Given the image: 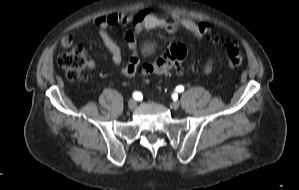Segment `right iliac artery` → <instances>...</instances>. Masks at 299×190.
I'll return each instance as SVG.
<instances>
[{"label":"right iliac artery","instance_id":"82829eb1","mask_svg":"<svg viewBox=\"0 0 299 190\" xmlns=\"http://www.w3.org/2000/svg\"><path fill=\"white\" fill-rule=\"evenodd\" d=\"M133 98L136 100H141L142 99V94L140 92H134L133 93Z\"/></svg>","mask_w":299,"mask_h":190}]
</instances>
